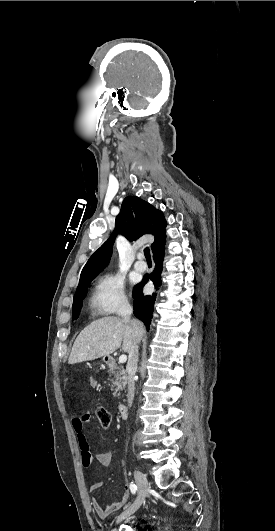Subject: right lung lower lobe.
<instances>
[{
  "label": "right lung lower lobe",
  "mask_w": 275,
  "mask_h": 531,
  "mask_svg": "<svg viewBox=\"0 0 275 531\" xmlns=\"http://www.w3.org/2000/svg\"><path fill=\"white\" fill-rule=\"evenodd\" d=\"M164 245L165 241L152 251L153 259L155 262V269L153 273L150 275V277H144L140 284L135 286L133 290L132 296L134 299V315L145 324L147 330H149L151 319L153 317V307L156 299V294L144 296L142 293V288L148 282L149 279L156 287L161 284L160 274L163 268L162 261L164 257Z\"/></svg>",
  "instance_id": "right-lung-lower-lobe-1"
}]
</instances>
